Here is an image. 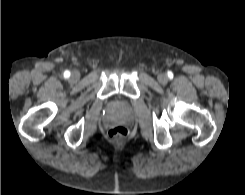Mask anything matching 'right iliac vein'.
Segmentation results:
<instances>
[{
    "label": "right iliac vein",
    "instance_id": "63e3f726",
    "mask_svg": "<svg viewBox=\"0 0 245 195\" xmlns=\"http://www.w3.org/2000/svg\"><path fill=\"white\" fill-rule=\"evenodd\" d=\"M79 78H80V74H79L78 72H76V71L72 72V74H71V76H70V80H71L72 82L78 81Z\"/></svg>",
    "mask_w": 245,
    "mask_h": 195
}]
</instances>
